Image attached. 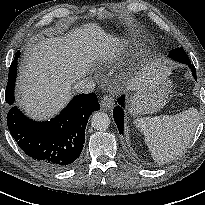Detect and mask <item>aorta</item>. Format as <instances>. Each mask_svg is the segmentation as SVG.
I'll return each instance as SVG.
<instances>
[{"instance_id":"obj_1","label":"aorta","mask_w":205,"mask_h":205,"mask_svg":"<svg viewBox=\"0 0 205 205\" xmlns=\"http://www.w3.org/2000/svg\"><path fill=\"white\" fill-rule=\"evenodd\" d=\"M91 125L96 130H106L110 125V118L104 112H96L91 118Z\"/></svg>"}]
</instances>
